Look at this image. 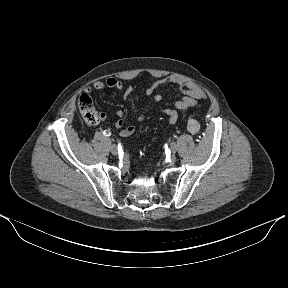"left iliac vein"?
Segmentation results:
<instances>
[{
    "label": "left iliac vein",
    "instance_id": "1",
    "mask_svg": "<svg viewBox=\"0 0 288 288\" xmlns=\"http://www.w3.org/2000/svg\"><path fill=\"white\" fill-rule=\"evenodd\" d=\"M172 153H175L177 151V144L175 143L174 145H170Z\"/></svg>",
    "mask_w": 288,
    "mask_h": 288
}]
</instances>
